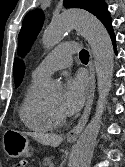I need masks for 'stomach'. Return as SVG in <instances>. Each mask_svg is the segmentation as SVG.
Here are the masks:
<instances>
[{
    "mask_svg": "<svg viewBox=\"0 0 125 167\" xmlns=\"http://www.w3.org/2000/svg\"><path fill=\"white\" fill-rule=\"evenodd\" d=\"M8 138L4 141V150L11 157L30 158L34 149L29 138L18 131L12 130L6 133Z\"/></svg>",
    "mask_w": 125,
    "mask_h": 167,
    "instance_id": "obj_1",
    "label": "stomach"
}]
</instances>
